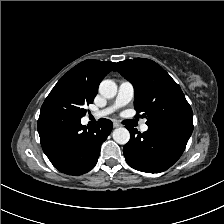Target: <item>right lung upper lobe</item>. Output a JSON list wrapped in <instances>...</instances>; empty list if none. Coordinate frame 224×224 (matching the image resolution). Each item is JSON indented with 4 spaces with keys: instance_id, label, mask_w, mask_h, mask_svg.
<instances>
[{
    "instance_id": "right-lung-upper-lobe-1",
    "label": "right lung upper lobe",
    "mask_w": 224,
    "mask_h": 224,
    "mask_svg": "<svg viewBox=\"0 0 224 224\" xmlns=\"http://www.w3.org/2000/svg\"><path fill=\"white\" fill-rule=\"evenodd\" d=\"M114 65L115 63L110 61L101 62L88 59L73 67L62 78L81 86L85 91L96 96L100 82Z\"/></svg>"
}]
</instances>
